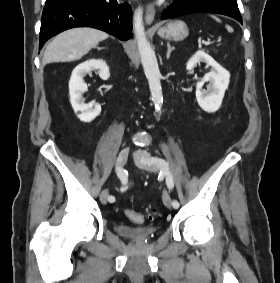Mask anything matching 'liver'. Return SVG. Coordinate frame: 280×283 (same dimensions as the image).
<instances>
[{
  "mask_svg": "<svg viewBox=\"0 0 280 283\" xmlns=\"http://www.w3.org/2000/svg\"><path fill=\"white\" fill-rule=\"evenodd\" d=\"M108 37L107 33L93 28L67 30L47 46L43 64L78 60Z\"/></svg>",
  "mask_w": 280,
  "mask_h": 283,
  "instance_id": "6515ba94",
  "label": "liver"
}]
</instances>
